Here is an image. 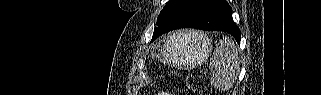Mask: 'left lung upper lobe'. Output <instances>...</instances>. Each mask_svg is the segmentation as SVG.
Wrapping results in <instances>:
<instances>
[{
	"instance_id": "5c2ea615",
	"label": "left lung upper lobe",
	"mask_w": 321,
	"mask_h": 95,
	"mask_svg": "<svg viewBox=\"0 0 321 95\" xmlns=\"http://www.w3.org/2000/svg\"><path fill=\"white\" fill-rule=\"evenodd\" d=\"M172 2H173V0H169V1L166 3V5H165L164 8L162 9V11L160 12V15L158 16L156 25H158V23L160 22L162 16L165 14V12L167 11V9L169 8V6L171 5Z\"/></svg>"
}]
</instances>
